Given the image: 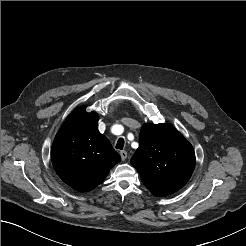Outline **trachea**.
I'll return each mask as SVG.
<instances>
[{
  "mask_svg": "<svg viewBox=\"0 0 246 246\" xmlns=\"http://www.w3.org/2000/svg\"><path fill=\"white\" fill-rule=\"evenodd\" d=\"M124 147V139L123 138H119L116 144V148L117 149H123Z\"/></svg>",
  "mask_w": 246,
  "mask_h": 246,
  "instance_id": "trachea-1",
  "label": "trachea"
}]
</instances>
